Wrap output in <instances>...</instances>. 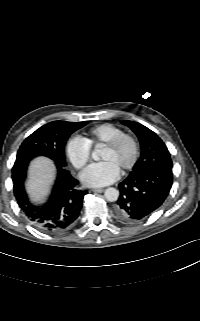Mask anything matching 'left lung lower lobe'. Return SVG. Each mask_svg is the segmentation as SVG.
<instances>
[{
  "instance_id": "0a47b994",
  "label": "left lung lower lobe",
  "mask_w": 200,
  "mask_h": 321,
  "mask_svg": "<svg viewBox=\"0 0 200 321\" xmlns=\"http://www.w3.org/2000/svg\"><path fill=\"white\" fill-rule=\"evenodd\" d=\"M173 183L172 169L145 168L132 171L119 184L115 213L123 222L147 218L167 198Z\"/></svg>"
}]
</instances>
